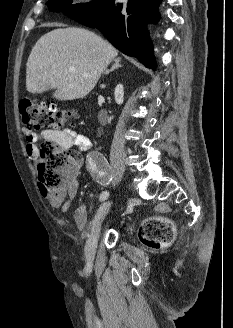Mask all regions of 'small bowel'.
I'll list each match as a JSON object with an SVG mask.
<instances>
[{
    "instance_id": "c3829d8e",
    "label": "small bowel",
    "mask_w": 233,
    "mask_h": 328,
    "mask_svg": "<svg viewBox=\"0 0 233 328\" xmlns=\"http://www.w3.org/2000/svg\"><path fill=\"white\" fill-rule=\"evenodd\" d=\"M23 132L26 137V152L30 157L36 155L37 144L41 139L55 141L64 150L76 147L79 151H86L92 146L91 140L86 135L78 133L70 128L62 130H44L40 133H35L31 131L30 128L25 127ZM77 190L78 183L76 178H73L63 187L54 191H46L40 187L41 195L49 201L51 206L60 208L62 212H67L72 207ZM86 218L85 207L82 205L78 206L75 211V221L77 225L83 227Z\"/></svg>"
}]
</instances>
